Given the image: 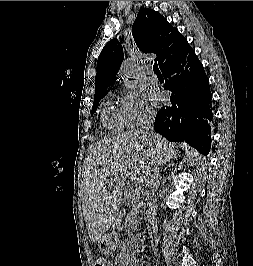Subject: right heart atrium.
<instances>
[{
  "label": "right heart atrium",
  "instance_id": "right-heart-atrium-1",
  "mask_svg": "<svg viewBox=\"0 0 253 266\" xmlns=\"http://www.w3.org/2000/svg\"><path fill=\"white\" fill-rule=\"evenodd\" d=\"M120 109L128 124L133 126L149 121L154 115L153 108L140 91L127 92L120 102Z\"/></svg>",
  "mask_w": 253,
  "mask_h": 266
}]
</instances>
